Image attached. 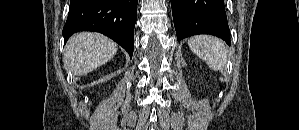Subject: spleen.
<instances>
[{
  "mask_svg": "<svg viewBox=\"0 0 299 130\" xmlns=\"http://www.w3.org/2000/svg\"><path fill=\"white\" fill-rule=\"evenodd\" d=\"M189 48L211 69L223 72L227 62L226 44L215 37L199 35L188 40Z\"/></svg>",
  "mask_w": 299,
  "mask_h": 130,
  "instance_id": "spleen-1",
  "label": "spleen"
}]
</instances>
